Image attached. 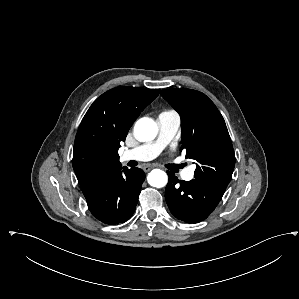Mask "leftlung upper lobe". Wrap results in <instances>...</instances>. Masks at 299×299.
<instances>
[{
	"label": "left lung upper lobe",
	"mask_w": 299,
	"mask_h": 299,
	"mask_svg": "<svg viewBox=\"0 0 299 299\" xmlns=\"http://www.w3.org/2000/svg\"><path fill=\"white\" fill-rule=\"evenodd\" d=\"M161 95L179 113L181 150L197 161L195 179L225 192L234 170L235 154L225 121L214 103L192 89H164Z\"/></svg>",
	"instance_id": "left-lung-upper-lobe-1"
}]
</instances>
